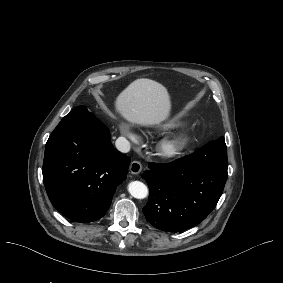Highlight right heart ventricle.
<instances>
[{
    "mask_svg": "<svg viewBox=\"0 0 283 283\" xmlns=\"http://www.w3.org/2000/svg\"><path fill=\"white\" fill-rule=\"evenodd\" d=\"M177 125V121L176 120H172V121H169L165 124H163V127L166 128V129H169V128H173Z\"/></svg>",
    "mask_w": 283,
    "mask_h": 283,
    "instance_id": "obj_1",
    "label": "right heart ventricle"
}]
</instances>
